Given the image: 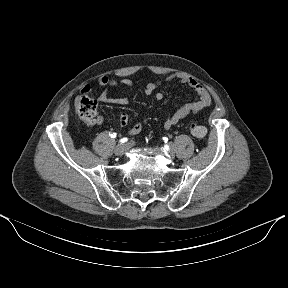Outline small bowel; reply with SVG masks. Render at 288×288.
Segmentation results:
<instances>
[{"label":"small bowel","mask_w":288,"mask_h":288,"mask_svg":"<svg viewBox=\"0 0 288 288\" xmlns=\"http://www.w3.org/2000/svg\"><path fill=\"white\" fill-rule=\"evenodd\" d=\"M173 80H178L180 83L188 85L192 89V91L195 93L196 98L189 103H185L181 105L178 108V110L164 122V127L166 129H169L175 126L176 124H178L181 120H183L190 114H197L201 112L202 110L208 108L212 103L209 92L198 81L184 74L170 75L162 80L149 83L145 88V94L146 95L154 94L155 99L160 101L163 99V93L160 91H157L158 87L162 83L170 82ZM95 85L102 89L99 95L100 102L104 104L118 105V106H125L129 103L128 95L123 96V97H111L109 95V88L115 87L118 85H122L127 90H131L133 87V84L129 79H123L118 82L116 80L103 76L96 80ZM90 91H91V87L89 85H86L82 88L81 93L88 94ZM128 120H129V117L127 113L125 112L120 113L119 124L121 126L123 127L126 126L128 123ZM101 122H102V118H99L97 124H100ZM141 129H142L141 124L135 123L128 129V134L130 135L137 134L141 131Z\"/></svg>","instance_id":"obj_1"}]
</instances>
